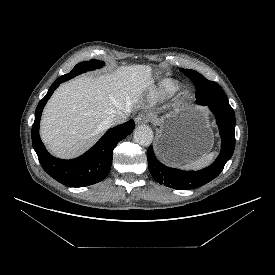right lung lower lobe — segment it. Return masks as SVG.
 <instances>
[{"label":"right lung lower lobe","mask_w":275,"mask_h":275,"mask_svg":"<svg viewBox=\"0 0 275 275\" xmlns=\"http://www.w3.org/2000/svg\"><path fill=\"white\" fill-rule=\"evenodd\" d=\"M67 80L68 78L62 76L55 80L45 97L39 102L32 126V144L41 166L52 178L69 187H84L106 178L112 165L115 146L133 131L135 124L133 120H129L109 129L89 151L78 158L62 160L51 156L39 136L40 118L54 90L60 83Z\"/></svg>","instance_id":"obj_1"}]
</instances>
